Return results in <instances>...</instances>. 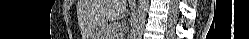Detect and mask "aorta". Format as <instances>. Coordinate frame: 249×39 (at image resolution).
<instances>
[{
    "mask_svg": "<svg viewBox=\"0 0 249 39\" xmlns=\"http://www.w3.org/2000/svg\"><path fill=\"white\" fill-rule=\"evenodd\" d=\"M148 7H149V0H139L136 27L132 36L133 39H140L142 36V31L145 24Z\"/></svg>",
    "mask_w": 249,
    "mask_h": 39,
    "instance_id": "aorta-1",
    "label": "aorta"
}]
</instances>
